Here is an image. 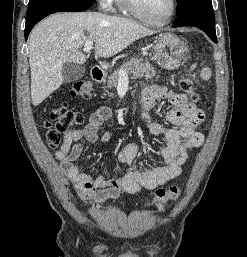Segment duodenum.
<instances>
[{
	"instance_id": "410a0bca",
	"label": "duodenum",
	"mask_w": 247,
	"mask_h": 257,
	"mask_svg": "<svg viewBox=\"0 0 247 257\" xmlns=\"http://www.w3.org/2000/svg\"><path fill=\"white\" fill-rule=\"evenodd\" d=\"M91 78L96 83L102 82L105 78V74H104V71L102 70V68L99 66H94L91 69Z\"/></svg>"
}]
</instances>
